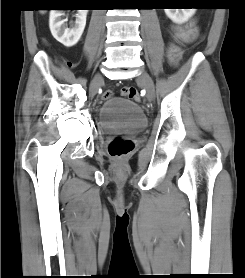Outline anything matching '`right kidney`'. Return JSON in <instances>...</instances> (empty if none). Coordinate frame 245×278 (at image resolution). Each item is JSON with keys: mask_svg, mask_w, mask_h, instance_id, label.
I'll return each mask as SVG.
<instances>
[{"mask_svg": "<svg viewBox=\"0 0 245 278\" xmlns=\"http://www.w3.org/2000/svg\"><path fill=\"white\" fill-rule=\"evenodd\" d=\"M88 10H78L76 21L68 28L65 24L66 19L64 10H51L49 17V27L53 37L66 47L74 46L82 36L86 25Z\"/></svg>", "mask_w": 245, "mask_h": 278, "instance_id": "right-kidney-1", "label": "right kidney"}]
</instances>
